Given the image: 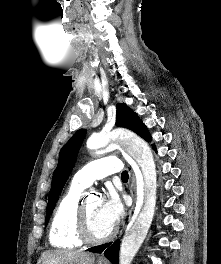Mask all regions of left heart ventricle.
<instances>
[{"instance_id":"1","label":"left heart ventricle","mask_w":221,"mask_h":264,"mask_svg":"<svg viewBox=\"0 0 221 264\" xmlns=\"http://www.w3.org/2000/svg\"><path fill=\"white\" fill-rule=\"evenodd\" d=\"M86 211L90 232L94 237L105 236L113 228L101 213V201L96 197H88Z\"/></svg>"}]
</instances>
